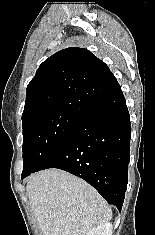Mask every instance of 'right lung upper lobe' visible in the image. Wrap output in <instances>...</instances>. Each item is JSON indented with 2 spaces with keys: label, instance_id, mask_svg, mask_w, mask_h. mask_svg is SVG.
Returning <instances> with one entry per match:
<instances>
[{
  "label": "right lung upper lobe",
  "instance_id": "right-lung-upper-lobe-1",
  "mask_svg": "<svg viewBox=\"0 0 155 235\" xmlns=\"http://www.w3.org/2000/svg\"><path fill=\"white\" fill-rule=\"evenodd\" d=\"M113 79L107 65L89 50L63 49L45 60L28 84L22 115L44 107H60L91 120L95 116L90 114L85 91Z\"/></svg>",
  "mask_w": 155,
  "mask_h": 235
}]
</instances>
